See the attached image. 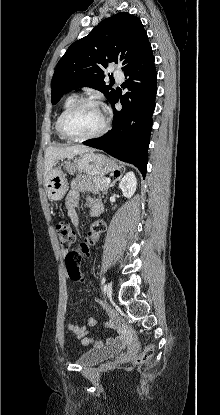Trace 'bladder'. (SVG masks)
<instances>
[{
	"instance_id": "bladder-1",
	"label": "bladder",
	"mask_w": 220,
	"mask_h": 415,
	"mask_svg": "<svg viewBox=\"0 0 220 415\" xmlns=\"http://www.w3.org/2000/svg\"><path fill=\"white\" fill-rule=\"evenodd\" d=\"M122 351V347L119 346L91 349L82 353L76 362L82 367L95 366L106 360L116 358Z\"/></svg>"
}]
</instances>
